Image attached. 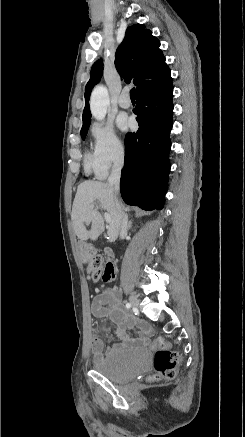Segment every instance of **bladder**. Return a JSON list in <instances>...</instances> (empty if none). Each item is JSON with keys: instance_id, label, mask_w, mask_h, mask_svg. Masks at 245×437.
<instances>
[{"instance_id": "31cf9c89", "label": "bladder", "mask_w": 245, "mask_h": 437, "mask_svg": "<svg viewBox=\"0 0 245 437\" xmlns=\"http://www.w3.org/2000/svg\"><path fill=\"white\" fill-rule=\"evenodd\" d=\"M151 355L147 349L114 348L93 363V368L109 380L128 382L144 372L150 364Z\"/></svg>"}]
</instances>
